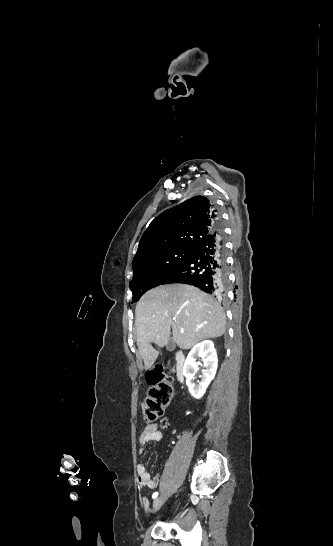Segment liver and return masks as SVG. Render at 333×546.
Listing matches in <instances>:
<instances>
[{
	"mask_svg": "<svg viewBox=\"0 0 333 546\" xmlns=\"http://www.w3.org/2000/svg\"><path fill=\"white\" fill-rule=\"evenodd\" d=\"M135 315L137 345L145 370L159 355L151 343L162 347L173 339L179 348L190 349L225 333L226 316L220 304L191 285L174 283L147 291L138 301Z\"/></svg>",
	"mask_w": 333,
	"mask_h": 546,
	"instance_id": "obj_1",
	"label": "liver"
}]
</instances>
